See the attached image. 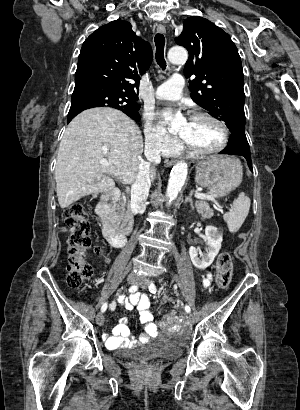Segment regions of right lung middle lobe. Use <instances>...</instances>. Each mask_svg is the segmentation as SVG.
Instances as JSON below:
<instances>
[{"mask_svg": "<svg viewBox=\"0 0 300 410\" xmlns=\"http://www.w3.org/2000/svg\"><path fill=\"white\" fill-rule=\"evenodd\" d=\"M133 100L127 94L102 85L92 83L75 84L68 117L77 115L85 109L109 106L121 110L131 118L140 119L139 107L134 104Z\"/></svg>", "mask_w": 300, "mask_h": 410, "instance_id": "right-lung-middle-lobe-1", "label": "right lung middle lobe"}]
</instances>
